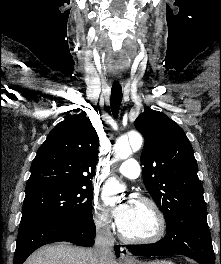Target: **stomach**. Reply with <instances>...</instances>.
<instances>
[{
	"instance_id": "stomach-1",
	"label": "stomach",
	"mask_w": 221,
	"mask_h": 264,
	"mask_svg": "<svg viewBox=\"0 0 221 264\" xmlns=\"http://www.w3.org/2000/svg\"><path fill=\"white\" fill-rule=\"evenodd\" d=\"M135 264H174L171 261H166V260H155V261H149V262H138Z\"/></svg>"
}]
</instances>
